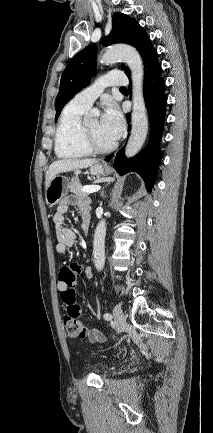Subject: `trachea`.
<instances>
[{
  "label": "trachea",
  "mask_w": 213,
  "mask_h": 433,
  "mask_svg": "<svg viewBox=\"0 0 213 433\" xmlns=\"http://www.w3.org/2000/svg\"><path fill=\"white\" fill-rule=\"evenodd\" d=\"M120 89H121V90H125L126 88H125V87H121Z\"/></svg>",
  "instance_id": "obj_1"
}]
</instances>
